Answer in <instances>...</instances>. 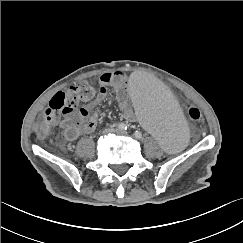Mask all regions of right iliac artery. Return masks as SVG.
<instances>
[{
  "label": "right iliac artery",
  "mask_w": 243,
  "mask_h": 243,
  "mask_svg": "<svg viewBox=\"0 0 243 243\" xmlns=\"http://www.w3.org/2000/svg\"><path fill=\"white\" fill-rule=\"evenodd\" d=\"M117 126H118V128L121 129V130H127V126H126V124H124V123H119Z\"/></svg>",
  "instance_id": "obj_1"
}]
</instances>
